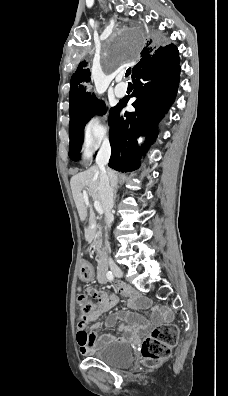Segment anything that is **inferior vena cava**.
<instances>
[{
    "label": "inferior vena cava",
    "instance_id": "inferior-vena-cava-1",
    "mask_svg": "<svg viewBox=\"0 0 228 396\" xmlns=\"http://www.w3.org/2000/svg\"><path fill=\"white\" fill-rule=\"evenodd\" d=\"M110 155V144L109 142H105L98 153V156L96 158V164L101 173L99 182V194L108 229H110L111 222L113 220V214L111 211L114 205L113 188L110 184V179L105 168V166L108 164Z\"/></svg>",
    "mask_w": 228,
    "mask_h": 396
}]
</instances>
